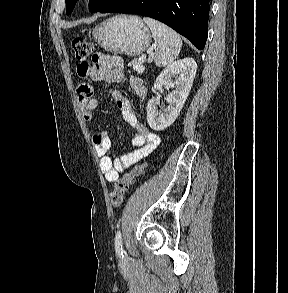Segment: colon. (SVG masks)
Wrapping results in <instances>:
<instances>
[{
    "mask_svg": "<svg viewBox=\"0 0 288 293\" xmlns=\"http://www.w3.org/2000/svg\"><path fill=\"white\" fill-rule=\"evenodd\" d=\"M72 47L76 59L82 64H87L89 58L93 55L92 44L83 38H75L72 42ZM147 167L148 163L137 165L115 183L114 189L110 194V201L114 207H119L122 204L124 195L129 187L144 173Z\"/></svg>",
    "mask_w": 288,
    "mask_h": 293,
    "instance_id": "colon-1",
    "label": "colon"
}]
</instances>
